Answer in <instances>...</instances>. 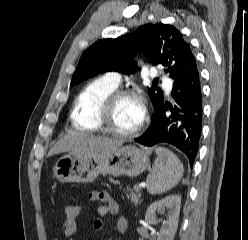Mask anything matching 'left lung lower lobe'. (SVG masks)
<instances>
[{
    "label": "left lung lower lobe",
    "instance_id": "obj_1",
    "mask_svg": "<svg viewBox=\"0 0 248 240\" xmlns=\"http://www.w3.org/2000/svg\"><path fill=\"white\" fill-rule=\"evenodd\" d=\"M175 104L167 102L154 111L146 132L135 141L145 146L168 143L181 150L192 166L196 158L202 129V91L197 65L173 84ZM170 110L171 115L166 111Z\"/></svg>",
    "mask_w": 248,
    "mask_h": 240
}]
</instances>
